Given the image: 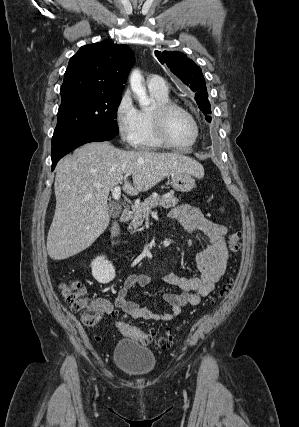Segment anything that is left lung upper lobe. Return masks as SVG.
<instances>
[{"instance_id":"1","label":"left lung upper lobe","mask_w":299,"mask_h":427,"mask_svg":"<svg viewBox=\"0 0 299 427\" xmlns=\"http://www.w3.org/2000/svg\"><path fill=\"white\" fill-rule=\"evenodd\" d=\"M156 56L161 64L165 63L195 93L199 109L206 115L205 119L211 122V116L208 115L211 113L210 102L201 68L181 52L163 51L162 53L157 52Z\"/></svg>"}]
</instances>
